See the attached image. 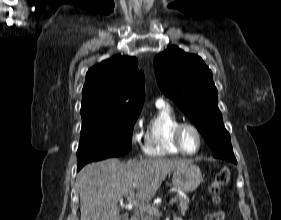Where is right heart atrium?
<instances>
[{"label": "right heart atrium", "instance_id": "1", "mask_svg": "<svg viewBox=\"0 0 281 220\" xmlns=\"http://www.w3.org/2000/svg\"><path fill=\"white\" fill-rule=\"evenodd\" d=\"M137 131H138V124L136 123V124L134 125V133H133V135H132V141H133L134 143H137V142L139 141V138H138V135H137Z\"/></svg>", "mask_w": 281, "mask_h": 220}]
</instances>
